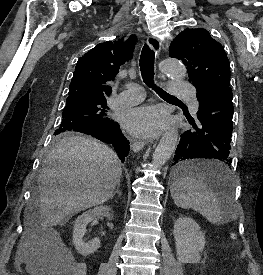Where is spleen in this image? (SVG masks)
<instances>
[{"label":"spleen","mask_w":263,"mask_h":275,"mask_svg":"<svg viewBox=\"0 0 263 275\" xmlns=\"http://www.w3.org/2000/svg\"><path fill=\"white\" fill-rule=\"evenodd\" d=\"M197 166L222 171L224 178L222 185L225 192L219 199L207 184L193 177L177 178L171 185L170 192L176 206L199 212L212 224L223 225L233 218L232 206L234 197L230 192L232 188L230 170L222 163L203 161Z\"/></svg>","instance_id":"3e777b00"}]
</instances>
